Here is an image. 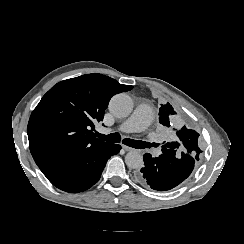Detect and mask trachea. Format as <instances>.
Listing matches in <instances>:
<instances>
[{
    "instance_id": "1",
    "label": "trachea",
    "mask_w": 244,
    "mask_h": 244,
    "mask_svg": "<svg viewBox=\"0 0 244 244\" xmlns=\"http://www.w3.org/2000/svg\"><path fill=\"white\" fill-rule=\"evenodd\" d=\"M96 136L104 141H108V142H112V143H118V142L122 141L123 144H126L127 146L137 148V149L146 148V147L150 146V144L147 142L137 141V140L130 139V138L122 139L121 135L118 132L111 133L109 135L97 133Z\"/></svg>"
}]
</instances>
